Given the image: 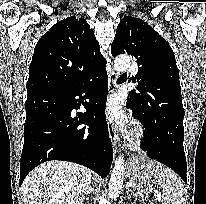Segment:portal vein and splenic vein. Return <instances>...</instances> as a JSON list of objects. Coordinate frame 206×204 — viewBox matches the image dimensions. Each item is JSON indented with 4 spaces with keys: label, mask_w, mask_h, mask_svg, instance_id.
Listing matches in <instances>:
<instances>
[{
    "label": "portal vein and splenic vein",
    "mask_w": 206,
    "mask_h": 204,
    "mask_svg": "<svg viewBox=\"0 0 206 204\" xmlns=\"http://www.w3.org/2000/svg\"><path fill=\"white\" fill-rule=\"evenodd\" d=\"M161 197L159 195L156 196V200H160Z\"/></svg>",
    "instance_id": "1"
}]
</instances>
